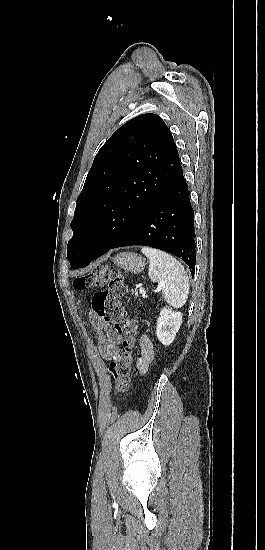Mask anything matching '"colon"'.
Wrapping results in <instances>:
<instances>
[{
    "label": "colon",
    "mask_w": 265,
    "mask_h": 550,
    "mask_svg": "<svg viewBox=\"0 0 265 550\" xmlns=\"http://www.w3.org/2000/svg\"><path fill=\"white\" fill-rule=\"evenodd\" d=\"M77 290L94 289L105 285L104 290L94 294L92 308L106 323L111 324L117 333L125 339L121 350L110 362L108 372L113 384L115 395L126 392L134 361L135 335L138 329L137 321L131 319L122 302L126 292L125 276L116 268L101 266L86 275L74 279Z\"/></svg>",
    "instance_id": "colon-1"
}]
</instances>
